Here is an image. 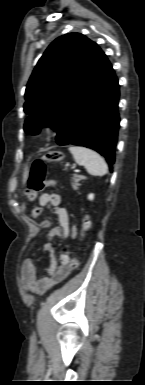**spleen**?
<instances>
[{"label":"spleen","instance_id":"1","mask_svg":"<svg viewBox=\"0 0 145 385\" xmlns=\"http://www.w3.org/2000/svg\"><path fill=\"white\" fill-rule=\"evenodd\" d=\"M69 151L76 163L84 166L91 175L103 176L107 174L108 166L97 152L82 146H71Z\"/></svg>","mask_w":145,"mask_h":385}]
</instances>
